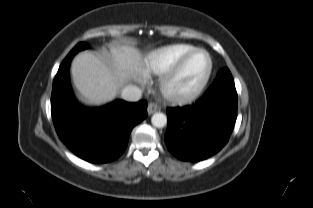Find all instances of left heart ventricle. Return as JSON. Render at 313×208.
I'll list each match as a JSON object with an SVG mask.
<instances>
[{"mask_svg":"<svg viewBox=\"0 0 313 208\" xmlns=\"http://www.w3.org/2000/svg\"><path fill=\"white\" fill-rule=\"evenodd\" d=\"M207 66V58L200 53L193 57L186 65L181 77L178 79L176 86L180 89H190L194 87Z\"/></svg>","mask_w":313,"mask_h":208,"instance_id":"left-heart-ventricle-1","label":"left heart ventricle"}]
</instances>
